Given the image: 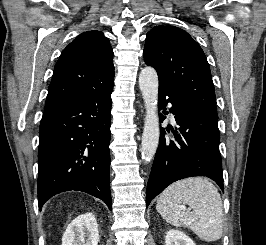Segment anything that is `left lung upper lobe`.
I'll list each match as a JSON object with an SVG mask.
<instances>
[{
	"mask_svg": "<svg viewBox=\"0 0 266 245\" xmlns=\"http://www.w3.org/2000/svg\"><path fill=\"white\" fill-rule=\"evenodd\" d=\"M144 60L156 69L159 85L217 114L210 67L199 44L181 28L155 26L146 36Z\"/></svg>",
	"mask_w": 266,
	"mask_h": 245,
	"instance_id": "5c2ea615",
	"label": "left lung upper lobe"
}]
</instances>
